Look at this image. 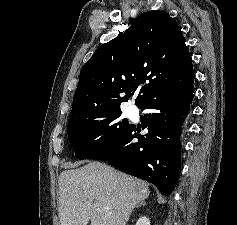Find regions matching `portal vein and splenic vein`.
<instances>
[{
	"label": "portal vein and splenic vein",
	"mask_w": 237,
	"mask_h": 225,
	"mask_svg": "<svg viewBox=\"0 0 237 225\" xmlns=\"http://www.w3.org/2000/svg\"><path fill=\"white\" fill-rule=\"evenodd\" d=\"M94 206H97V204H96V203H94Z\"/></svg>",
	"instance_id": "1"
}]
</instances>
